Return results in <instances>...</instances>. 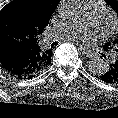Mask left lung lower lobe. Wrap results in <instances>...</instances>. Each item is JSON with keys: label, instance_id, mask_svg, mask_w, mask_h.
<instances>
[{"label": "left lung lower lobe", "instance_id": "1", "mask_svg": "<svg viewBox=\"0 0 118 118\" xmlns=\"http://www.w3.org/2000/svg\"><path fill=\"white\" fill-rule=\"evenodd\" d=\"M99 78L106 83H118V62L111 63L107 70L99 75Z\"/></svg>", "mask_w": 118, "mask_h": 118}]
</instances>
